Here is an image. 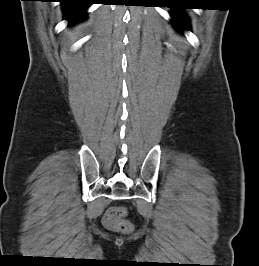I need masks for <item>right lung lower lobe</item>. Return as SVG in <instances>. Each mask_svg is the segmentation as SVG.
<instances>
[{"label":"right lung lower lobe","instance_id":"obj_1","mask_svg":"<svg viewBox=\"0 0 259 266\" xmlns=\"http://www.w3.org/2000/svg\"><path fill=\"white\" fill-rule=\"evenodd\" d=\"M95 0H61L66 19L71 22L80 20L85 16L86 9L93 4Z\"/></svg>","mask_w":259,"mask_h":266}]
</instances>
